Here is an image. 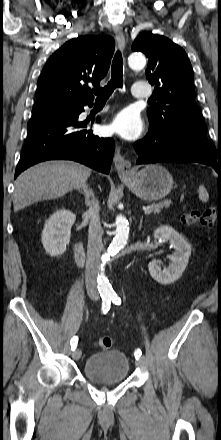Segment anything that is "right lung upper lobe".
Wrapping results in <instances>:
<instances>
[{
	"instance_id": "cb5924a9",
	"label": "right lung upper lobe",
	"mask_w": 221,
	"mask_h": 440,
	"mask_svg": "<svg viewBox=\"0 0 221 440\" xmlns=\"http://www.w3.org/2000/svg\"><path fill=\"white\" fill-rule=\"evenodd\" d=\"M114 52L110 36L85 35L67 41L45 64L32 113L92 103L88 82L99 86Z\"/></svg>"
}]
</instances>
